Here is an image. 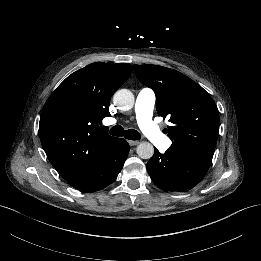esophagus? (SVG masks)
<instances>
[{
	"mask_svg": "<svg viewBox=\"0 0 261 261\" xmlns=\"http://www.w3.org/2000/svg\"><path fill=\"white\" fill-rule=\"evenodd\" d=\"M128 143H129L131 146H135V145H138L140 142H139V141L128 140Z\"/></svg>",
	"mask_w": 261,
	"mask_h": 261,
	"instance_id": "esophagus-1",
	"label": "esophagus"
}]
</instances>
